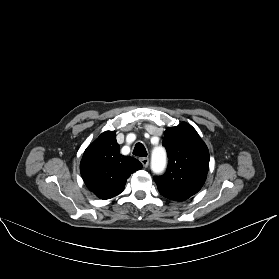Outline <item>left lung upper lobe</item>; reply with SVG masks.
Listing matches in <instances>:
<instances>
[{"label": "left lung upper lobe", "mask_w": 279, "mask_h": 279, "mask_svg": "<svg viewBox=\"0 0 279 279\" xmlns=\"http://www.w3.org/2000/svg\"><path fill=\"white\" fill-rule=\"evenodd\" d=\"M163 145L168 154L167 171L154 176L164 197L184 201L196 194L205 183L209 168V151L196 130L187 123L168 127Z\"/></svg>", "instance_id": "5c2ea615"}]
</instances>
